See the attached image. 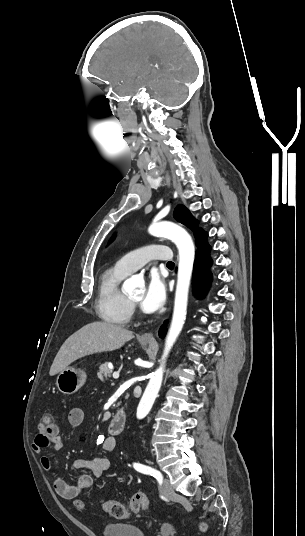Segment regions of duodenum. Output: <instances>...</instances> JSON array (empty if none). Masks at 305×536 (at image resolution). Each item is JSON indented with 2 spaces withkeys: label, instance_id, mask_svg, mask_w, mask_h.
Returning a JSON list of instances; mask_svg holds the SVG:
<instances>
[{
  "label": "duodenum",
  "instance_id": "duodenum-1",
  "mask_svg": "<svg viewBox=\"0 0 305 536\" xmlns=\"http://www.w3.org/2000/svg\"><path fill=\"white\" fill-rule=\"evenodd\" d=\"M127 424V415L124 410H118L111 418L108 424V430L111 434H120L124 431Z\"/></svg>",
  "mask_w": 305,
  "mask_h": 536
}]
</instances>
